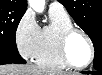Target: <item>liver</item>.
Instances as JSON below:
<instances>
[{
	"label": "liver",
	"mask_w": 102,
	"mask_h": 75,
	"mask_svg": "<svg viewBox=\"0 0 102 75\" xmlns=\"http://www.w3.org/2000/svg\"><path fill=\"white\" fill-rule=\"evenodd\" d=\"M0 75H64L61 72L48 70L35 65H2Z\"/></svg>",
	"instance_id": "liver-1"
}]
</instances>
